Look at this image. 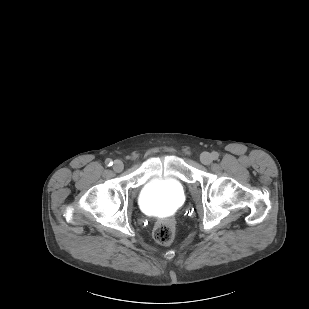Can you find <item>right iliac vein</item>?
Instances as JSON below:
<instances>
[{
  "label": "right iliac vein",
  "instance_id": "63e3f726",
  "mask_svg": "<svg viewBox=\"0 0 309 309\" xmlns=\"http://www.w3.org/2000/svg\"><path fill=\"white\" fill-rule=\"evenodd\" d=\"M124 168V164L122 161L120 160H115L114 163H113V170L115 172H121Z\"/></svg>",
  "mask_w": 309,
  "mask_h": 309
}]
</instances>
